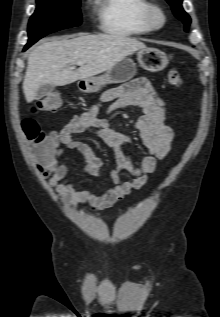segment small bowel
Masks as SVG:
<instances>
[{"label": "small bowel", "mask_w": 220, "mask_h": 317, "mask_svg": "<svg viewBox=\"0 0 220 317\" xmlns=\"http://www.w3.org/2000/svg\"><path fill=\"white\" fill-rule=\"evenodd\" d=\"M100 101L111 103L109 113L128 106H137L143 110L144 115L136 122L135 129L146 155L139 163H134L123 150L124 145L131 139L130 135L114 130L108 119L100 118L96 105L81 115L72 117L64 127L51 131L50 136L55 141L58 154L64 150L81 153L85 161V174L100 176L104 161L94 153L88 143L74 139L75 135L90 133L112 148L116 154L118 168L110 175L113 185L104 193L76 190L68 177V165L58 163L57 156L49 166L41 168L42 177L48 180L50 187H58L60 198L71 209L82 204L93 210H104L132 191L143 187L155 172L158 162L167 156L174 137L173 130L166 124V104L145 78H137L105 91ZM121 170L128 171L132 178L122 181Z\"/></svg>", "instance_id": "1"}]
</instances>
